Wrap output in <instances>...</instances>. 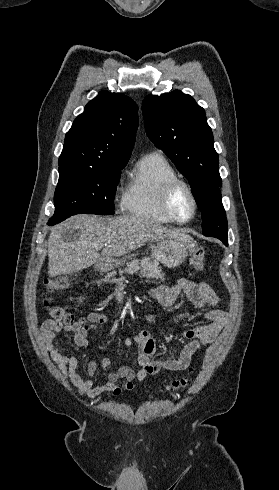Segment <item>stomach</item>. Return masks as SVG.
Returning a JSON list of instances; mask_svg holds the SVG:
<instances>
[{
    "label": "stomach",
    "mask_w": 279,
    "mask_h": 490,
    "mask_svg": "<svg viewBox=\"0 0 279 490\" xmlns=\"http://www.w3.org/2000/svg\"><path fill=\"white\" fill-rule=\"evenodd\" d=\"M190 250L191 248H189L183 238L181 240L172 238V240H165V242L154 244L151 248V256L156 262L163 264L165 268H178V266H181L185 262L187 256H189ZM133 256L134 254H130V256H126L122 260H114L112 258V260L104 262L102 272H110L113 268H119L126 260H132Z\"/></svg>",
    "instance_id": "0dacf381"
}]
</instances>
